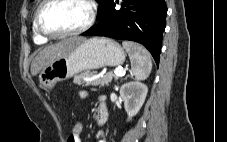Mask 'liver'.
<instances>
[{
  "mask_svg": "<svg viewBox=\"0 0 227 142\" xmlns=\"http://www.w3.org/2000/svg\"><path fill=\"white\" fill-rule=\"evenodd\" d=\"M86 41L83 37H70L60 42L47 46L41 50L31 64V74L36 76L40 71L49 66L54 60L70 53L79 44Z\"/></svg>",
  "mask_w": 227,
  "mask_h": 142,
  "instance_id": "obj_1",
  "label": "liver"
}]
</instances>
